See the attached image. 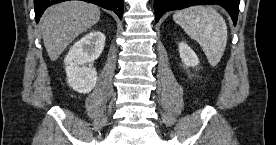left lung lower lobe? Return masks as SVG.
I'll list each match as a JSON object with an SVG mask.
<instances>
[{"label": "left lung lower lobe", "instance_id": "left-lung-lower-lobe-1", "mask_svg": "<svg viewBox=\"0 0 276 145\" xmlns=\"http://www.w3.org/2000/svg\"><path fill=\"white\" fill-rule=\"evenodd\" d=\"M240 0H154L155 20L159 21L162 14L193 5L218 4L231 16L234 25L237 23Z\"/></svg>", "mask_w": 276, "mask_h": 145}]
</instances>
